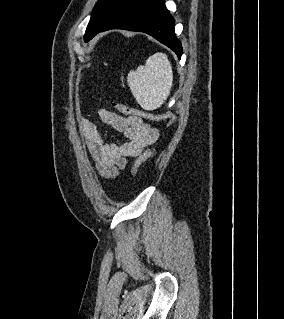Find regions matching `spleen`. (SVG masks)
Here are the masks:
<instances>
[{
	"label": "spleen",
	"mask_w": 284,
	"mask_h": 319,
	"mask_svg": "<svg viewBox=\"0 0 284 319\" xmlns=\"http://www.w3.org/2000/svg\"><path fill=\"white\" fill-rule=\"evenodd\" d=\"M127 81L143 109H157L169 96L173 83L172 66L167 55L161 52L153 54L145 65L128 73Z\"/></svg>",
	"instance_id": "3e777b00"
}]
</instances>
